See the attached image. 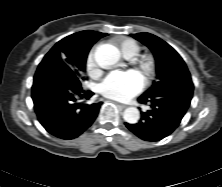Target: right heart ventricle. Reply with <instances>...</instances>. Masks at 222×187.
I'll return each mask as SVG.
<instances>
[{
	"instance_id": "e07e8e85",
	"label": "right heart ventricle",
	"mask_w": 222,
	"mask_h": 187,
	"mask_svg": "<svg viewBox=\"0 0 222 187\" xmlns=\"http://www.w3.org/2000/svg\"><path fill=\"white\" fill-rule=\"evenodd\" d=\"M117 45H118L121 53L126 58H133L140 51L139 44L136 41L129 39V38H125V39H121V40L117 41Z\"/></svg>"
}]
</instances>
